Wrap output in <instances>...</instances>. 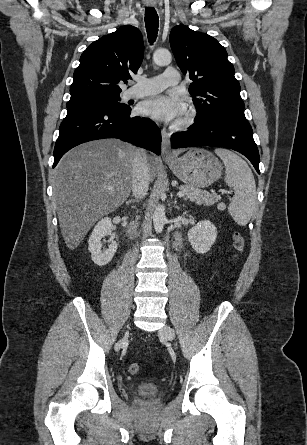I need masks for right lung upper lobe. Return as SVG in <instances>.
I'll return each instance as SVG.
<instances>
[{
	"mask_svg": "<svg viewBox=\"0 0 307 445\" xmlns=\"http://www.w3.org/2000/svg\"><path fill=\"white\" fill-rule=\"evenodd\" d=\"M143 55L142 35L131 25L93 42L80 57L70 87V99L119 95L118 83L130 79L131 73H137Z\"/></svg>",
	"mask_w": 307,
	"mask_h": 445,
	"instance_id": "cb5924a9",
	"label": "right lung upper lobe"
}]
</instances>
